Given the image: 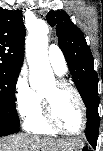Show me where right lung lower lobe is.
Segmentation results:
<instances>
[{"instance_id": "1", "label": "right lung lower lobe", "mask_w": 103, "mask_h": 151, "mask_svg": "<svg viewBox=\"0 0 103 151\" xmlns=\"http://www.w3.org/2000/svg\"><path fill=\"white\" fill-rule=\"evenodd\" d=\"M19 131V126L9 124L0 119V137L7 136Z\"/></svg>"}]
</instances>
